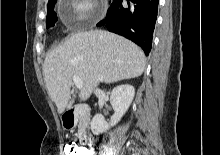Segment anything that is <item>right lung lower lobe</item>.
<instances>
[{"instance_id":"1","label":"right lung lower lobe","mask_w":220,"mask_h":155,"mask_svg":"<svg viewBox=\"0 0 220 155\" xmlns=\"http://www.w3.org/2000/svg\"><path fill=\"white\" fill-rule=\"evenodd\" d=\"M123 7L122 0H113L106 19L97 26L106 25L111 32L122 35L139 45L146 55L151 51L153 31L157 19L158 0H131Z\"/></svg>"}]
</instances>
